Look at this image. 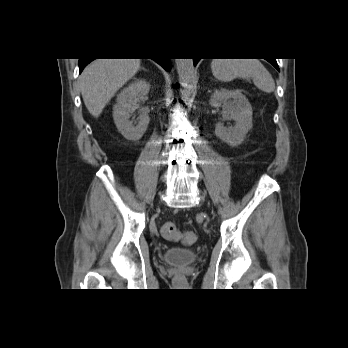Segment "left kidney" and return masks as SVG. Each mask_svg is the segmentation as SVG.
Here are the masks:
<instances>
[{
	"label": "left kidney",
	"mask_w": 348,
	"mask_h": 348,
	"mask_svg": "<svg viewBox=\"0 0 348 348\" xmlns=\"http://www.w3.org/2000/svg\"><path fill=\"white\" fill-rule=\"evenodd\" d=\"M209 104L215 108L223 104L224 117L232 118L236 122L229 129L218 123L215 135L230 146L240 145L252 128V106L246 96L240 90H216L211 95Z\"/></svg>",
	"instance_id": "5707ae66"
}]
</instances>
